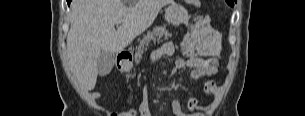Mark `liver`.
I'll list each match as a JSON object with an SVG mask.
<instances>
[{"label":"liver","mask_w":305,"mask_h":116,"mask_svg":"<svg viewBox=\"0 0 305 116\" xmlns=\"http://www.w3.org/2000/svg\"><path fill=\"white\" fill-rule=\"evenodd\" d=\"M173 0H73L67 36L68 66L85 89H94L101 51L119 53L147 30ZM121 25L115 29V22Z\"/></svg>","instance_id":"1"}]
</instances>
